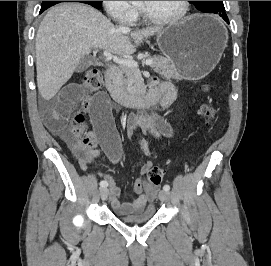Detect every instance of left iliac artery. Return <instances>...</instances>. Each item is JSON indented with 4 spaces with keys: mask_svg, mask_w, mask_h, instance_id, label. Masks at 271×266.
I'll list each match as a JSON object with an SVG mask.
<instances>
[{
    "mask_svg": "<svg viewBox=\"0 0 271 266\" xmlns=\"http://www.w3.org/2000/svg\"><path fill=\"white\" fill-rule=\"evenodd\" d=\"M163 190H165V191H169V190H170V186H169V185H167V184H166V185H164V186H163Z\"/></svg>",
    "mask_w": 271,
    "mask_h": 266,
    "instance_id": "left-iliac-artery-1",
    "label": "left iliac artery"
}]
</instances>
